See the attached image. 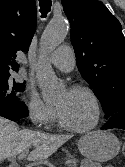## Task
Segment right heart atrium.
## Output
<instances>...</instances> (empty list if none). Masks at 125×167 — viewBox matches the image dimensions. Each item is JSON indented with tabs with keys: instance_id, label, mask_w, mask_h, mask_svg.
<instances>
[{
	"instance_id": "obj_1",
	"label": "right heart atrium",
	"mask_w": 125,
	"mask_h": 167,
	"mask_svg": "<svg viewBox=\"0 0 125 167\" xmlns=\"http://www.w3.org/2000/svg\"><path fill=\"white\" fill-rule=\"evenodd\" d=\"M26 109L32 122L38 126H49L56 119L57 113L54 107L46 104L39 94L29 89L26 93ZM92 166H96L91 163Z\"/></svg>"
}]
</instances>
